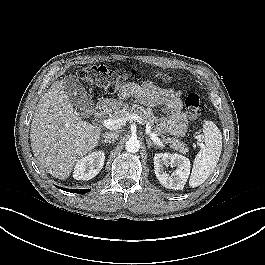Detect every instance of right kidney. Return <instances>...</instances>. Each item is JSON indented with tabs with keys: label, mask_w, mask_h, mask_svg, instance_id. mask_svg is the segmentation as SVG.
<instances>
[{
	"label": "right kidney",
	"mask_w": 265,
	"mask_h": 265,
	"mask_svg": "<svg viewBox=\"0 0 265 265\" xmlns=\"http://www.w3.org/2000/svg\"><path fill=\"white\" fill-rule=\"evenodd\" d=\"M105 154L103 151L93 152L80 159L73 172L76 180H90L94 178L104 165Z\"/></svg>",
	"instance_id": "obj_1"
}]
</instances>
